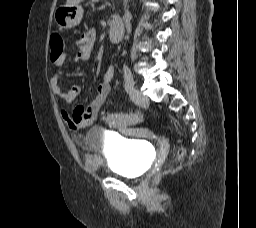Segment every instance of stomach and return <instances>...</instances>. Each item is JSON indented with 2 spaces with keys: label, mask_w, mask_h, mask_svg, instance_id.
<instances>
[{
  "label": "stomach",
  "mask_w": 256,
  "mask_h": 228,
  "mask_svg": "<svg viewBox=\"0 0 256 228\" xmlns=\"http://www.w3.org/2000/svg\"><path fill=\"white\" fill-rule=\"evenodd\" d=\"M82 16L83 8L79 4L60 6L54 12V20L61 29L77 26L81 22Z\"/></svg>",
  "instance_id": "stomach-1"
}]
</instances>
